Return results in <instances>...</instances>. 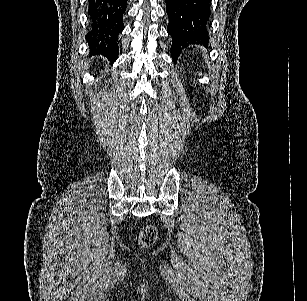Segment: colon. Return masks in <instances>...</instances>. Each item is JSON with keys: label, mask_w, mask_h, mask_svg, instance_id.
<instances>
[{"label": "colon", "mask_w": 307, "mask_h": 301, "mask_svg": "<svg viewBox=\"0 0 307 301\" xmlns=\"http://www.w3.org/2000/svg\"><path fill=\"white\" fill-rule=\"evenodd\" d=\"M157 238V230L152 225L145 226L140 232V243L144 247L151 246Z\"/></svg>", "instance_id": "colon-1"}]
</instances>
